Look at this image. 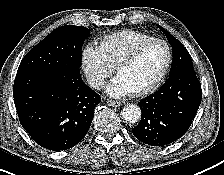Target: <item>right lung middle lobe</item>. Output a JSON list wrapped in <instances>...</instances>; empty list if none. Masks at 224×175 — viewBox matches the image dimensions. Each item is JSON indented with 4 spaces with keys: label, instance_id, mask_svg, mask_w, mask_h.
<instances>
[{
    "label": "right lung middle lobe",
    "instance_id": "right-lung-middle-lobe-1",
    "mask_svg": "<svg viewBox=\"0 0 224 175\" xmlns=\"http://www.w3.org/2000/svg\"><path fill=\"white\" fill-rule=\"evenodd\" d=\"M90 30L82 26H61L53 30L22 59L18 71L66 72L81 66V49Z\"/></svg>",
    "mask_w": 224,
    "mask_h": 175
}]
</instances>
